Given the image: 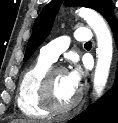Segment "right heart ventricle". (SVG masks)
<instances>
[{
	"label": "right heart ventricle",
	"instance_id": "1",
	"mask_svg": "<svg viewBox=\"0 0 118 123\" xmlns=\"http://www.w3.org/2000/svg\"><path fill=\"white\" fill-rule=\"evenodd\" d=\"M52 63L40 57L23 74L17 92L19 110L32 118H44L49 115L40 102V84Z\"/></svg>",
	"mask_w": 118,
	"mask_h": 123
}]
</instances>
